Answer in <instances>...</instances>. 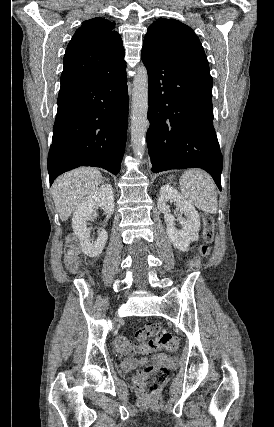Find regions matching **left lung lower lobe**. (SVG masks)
Wrapping results in <instances>:
<instances>
[{
  "instance_id": "1",
  "label": "left lung lower lobe",
  "mask_w": 274,
  "mask_h": 427,
  "mask_svg": "<svg viewBox=\"0 0 274 427\" xmlns=\"http://www.w3.org/2000/svg\"><path fill=\"white\" fill-rule=\"evenodd\" d=\"M148 71V151L153 173L201 168L221 190L222 154L213 127L212 77L143 44Z\"/></svg>"
}]
</instances>
